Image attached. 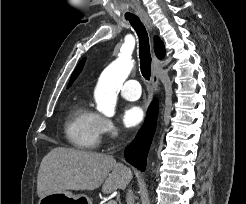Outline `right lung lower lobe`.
Wrapping results in <instances>:
<instances>
[{
  "label": "right lung lower lobe",
  "instance_id": "right-lung-lower-lobe-1",
  "mask_svg": "<svg viewBox=\"0 0 246 204\" xmlns=\"http://www.w3.org/2000/svg\"><path fill=\"white\" fill-rule=\"evenodd\" d=\"M156 117L157 104L153 102L149 107L144 126L124 153L126 160L141 171H145L146 168V158L155 130Z\"/></svg>",
  "mask_w": 246,
  "mask_h": 204
}]
</instances>
